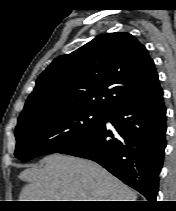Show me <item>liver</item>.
<instances>
[{"mask_svg": "<svg viewBox=\"0 0 176 211\" xmlns=\"http://www.w3.org/2000/svg\"><path fill=\"white\" fill-rule=\"evenodd\" d=\"M19 174V201H136V193L91 160L54 153Z\"/></svg>", "mask_w": 176, "mask_h": 211, "instance_id": "liver-1", "label": "liver"}]
</instances>
